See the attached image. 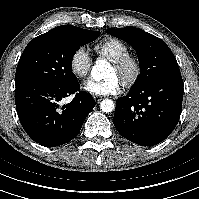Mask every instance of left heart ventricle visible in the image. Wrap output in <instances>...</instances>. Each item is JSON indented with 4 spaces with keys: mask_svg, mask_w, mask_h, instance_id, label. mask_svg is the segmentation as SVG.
Masks as SVG:
<instances>
[{
    "mask_svg": "<svg viewBox=\"0 0 199 199\" xmlns=\"http://www.w3.org/2000/svg\"><path fill=\"white\" fill-rule=\"evenodd\" d=\"M107 76L108 77H111V76H117L119 77L120 79H122V76L121 74L113 67L111 66L108 73H107Z\"/></svg>",
    "mask_w": 199,
    "mask_h": 199,
    "instance_id": "obj_1",
    "label": "left heart ventricle"
}]
</instances>
